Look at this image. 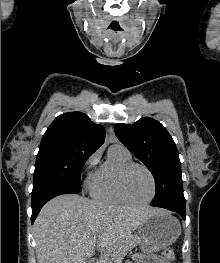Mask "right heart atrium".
Here are the masks:
<instances>
[{
	"mask_svg": "<svg viewBox=\"0 0 220 263\" xmlns=\"http://www.w3.org/2000/svg\"><path fill=\"white\" fill-rule=\"evenodd\" d=\"M99 158H100V151L97 150L93 154H91L89 156V158L86 160V163H85L86 168L88 170L92 171V174H91V176L89 177V179L87 181L88 187L90 185V181H91V178H92V176L94 174V169H95V167H96V165H97V163L99 161Z\"/></svg>",
	"mask_w": 220,
	"mask_h": 263,
	"instance_id": "1",
	"label": "right heart atrium"
}]
</instances>
